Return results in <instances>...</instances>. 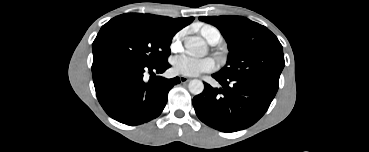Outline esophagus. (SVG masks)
Instances as JSON below:
<instances>
[{"mask_svg":"<svg viewBox=\"0 0 369 152\" xmlns=\"http://www.w3.org/2000/svg\"><path fill=\"white\" fill-rule=\"evenodd\" d=\"M179 78H180L181 83H187L190 80L189 78L185 76H180Z\"/></svg>","mask_w":369,"mask_h":152,"instance_id":"obj_1","label":"esophagus"}]
</instances>
